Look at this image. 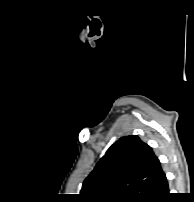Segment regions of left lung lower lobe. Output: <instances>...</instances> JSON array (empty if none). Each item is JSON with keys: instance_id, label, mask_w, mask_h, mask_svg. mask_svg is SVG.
Listing matches in <instances>:
<instances>
[{"instance_id": "left-lung-lower-lobe-1", "label": "left lung lower lobe", "mask_w": 194, "mask_h": 202, "mask_svg": "<svg viewBox=\"0 0 194 202\" xmlns=\"http://www.w3.org/2000/svg\"><path fill=\"white\" fill-rule=\"evenodd\" d=\"M170 196L169 194V188L166 176L162 177L161 183L156 191V195L152 202H165V200Z\"/></svg>"}]
</instances>
